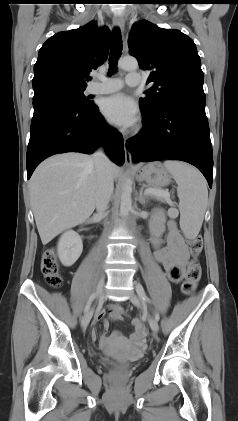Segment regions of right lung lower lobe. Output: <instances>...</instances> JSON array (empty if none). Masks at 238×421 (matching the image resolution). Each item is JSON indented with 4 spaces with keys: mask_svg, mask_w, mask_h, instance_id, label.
Listing matches in <instances>:
<instances>
[{
    "mask_svg": "<svg viewBox=\"0 0 238 421\" xmlns=\"http://www.w3.org/2000/svg\"><path fill=\"white\" fill-rule=\"evenodd\" d=\"M34 114L27 148V178L47 157L65 152L92 153L104 143L109 158L125 161L122 135L106 124L98 107L86 108L52 90L34 93Z\"/></svg>",
    "mask_w": 238,
    "mask_h": 421,
    "instance_id": "98d812e1",
    "label": "right lung lower lobe"
}]
</instances>
